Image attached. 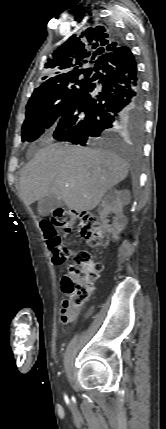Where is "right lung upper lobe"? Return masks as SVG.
Instances as JSON below:
<instances>
[{
	"mask_svg": "<svg viewBox=\"0 0 166 429\" xmlns=\"http://www.w3.org/2000/svg\"><path fill=\"white\" fill-rule=\"evenodd\" d=\"M120 46L114 33H106L98 27L87 28L80 34L71 36L47 59L43 69V82L33 93L45 91L68 77L91 74L93 68H87L88 64L94 65L100 56L112 53Z\"/></svg>",
	"mask_w": 166,
	"mask_h": 429,
	"instance_id": "obj_1",
	"label": "right lung upper lobe"
}]
</instances>
